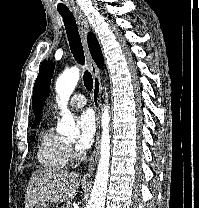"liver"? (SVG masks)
I'll return each mask as SVG.
<instances>
[{
	"instance_id": "1",
	"label": "liver",
	"mask_w": 199,
	"mask_h": 208,
	"mask_svg": "<svg viewBox=\"0 0 199 208\" xmlns=\"http://www.w3.org/2000/svg\"><path fill=\"white\" fill-rule=\"evenodd\" d=\"M81 176L79 173L37 170L31 175L25 195V208L39 202H67L77 195Z\"/></svg>"
}]
</instances>
